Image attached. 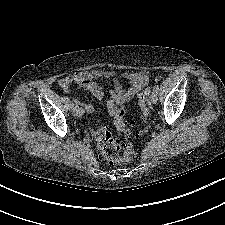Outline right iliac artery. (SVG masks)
<instances>
[{
	"instance_id": "82829eb1",
	"label": "right iliac artery",
	"mask_w": 225,
	"mask_h": 225,
	"mask_svg": "<svg viewBox=\"0 0 225 225\" xmlns=\"http://www.w3.org/2000/svg\"><path fill=\"white\" fill-rule=\"evenodd\" d=\"M74 106V103L73 102H71V104H70V108H72Z\"/></svg>"
}]
</instances>
